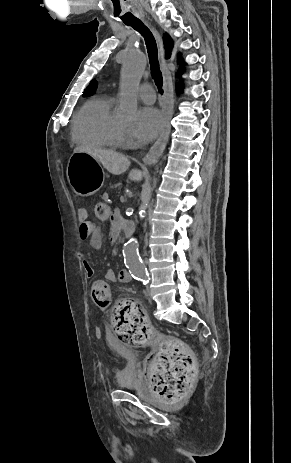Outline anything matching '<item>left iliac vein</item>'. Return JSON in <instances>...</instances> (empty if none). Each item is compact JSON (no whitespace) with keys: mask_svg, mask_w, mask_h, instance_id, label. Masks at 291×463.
<instances>
[{"mask_svg":"<svg viewBox=\"0 0 291 463\" xmlns=\"http://www.w3.org/2000/svg\"><path fill=\"white\" fill-rule=\"evenodd\" d=\"M146 295H147V296H150V290H149V288H147Z\"/></svg>","mask_w":291,"mask_h":463,"instance_id":"obj_1","label":"left iliac vein"}]
</instances>
